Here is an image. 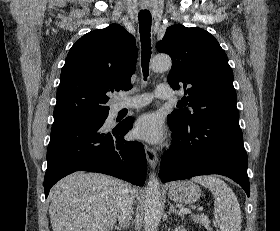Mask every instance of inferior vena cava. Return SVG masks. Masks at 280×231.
Returning <instances> with one entry per match:
<instances>
[{
    "label": "inferior vena cava",
    "mask_w": 280,
    "mask_h": 231,
    "mask_svg": "<svg viewBox=\"0 0 280 231\" xmlns=\"http://www.w3.org/2000/svg\"><path fill=\"white\" fill-rule=\"evenodd\" d=\"M121 193V197L116 201L118 205L117 217L120 225L127 227L128 221L131 219L133 213V193L129 183H122Z\"/></svg>",
    "instance_id": "1"
}]
</instances>
